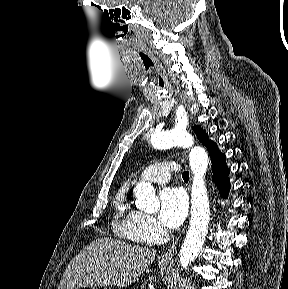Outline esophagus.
<instances>
[{
  "label": "esophagus",
  "instance_id": "1",
  "mask_svg": "<svg viewBox=\"0 0 288 289\" xmlns=\"http://www.w3.org/2000/svg\"><path fill=\"white\" fill-rule=\"evenodd\" d=\"M179 238H176V240L172 243V245L162 254L161 260L162 261H169L173 258L177 245H178Z\"/></svg>",
  "mask_w": 288,
  "mask_h": 289
}]
</instances>
